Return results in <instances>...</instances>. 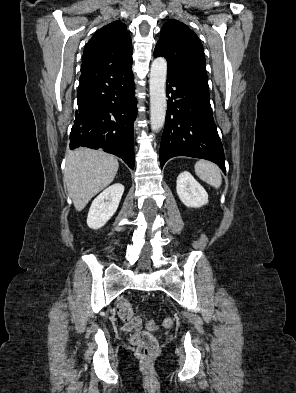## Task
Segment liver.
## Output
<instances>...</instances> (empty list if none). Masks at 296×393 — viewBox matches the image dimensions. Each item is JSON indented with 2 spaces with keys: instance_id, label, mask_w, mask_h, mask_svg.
<instances>
[{
  "instance_id": "obj_1",
  "label": "liver",
  "mask_w": 296,
  "mask_h": 393,
  "mask_svg": "<svg viewBox=\"0 0 296 393\" xmlns=\"http://www.w3.org/2000/svg\"><path fill=\"white\" fill-rule=\"evenodd\" d=\"M119 163L103 151L79 148L66 156L64 184L77 211L107 187L115 178Z\"/></svg>"
}]
</instances>
